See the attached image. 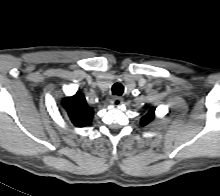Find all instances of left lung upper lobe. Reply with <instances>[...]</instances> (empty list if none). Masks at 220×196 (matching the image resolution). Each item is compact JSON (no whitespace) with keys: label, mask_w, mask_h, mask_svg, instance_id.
Listing matches in <instances>:
<instances>
[{"label":"left lung upper lobe","mask_w":220,"mask_h":196,"mask_svg":"<svg viewBox=\"0 0 220 196\" xmlns=\"http://www.w3.org/2000/svg\"><path fill=\"white\" fill-rule=\"evenodd\" d=\"M155 118V108H151L146 115L141 118V125L145 126L149 124Z\"/></svg>","instance_id":"5c2ea615"}]
</instances>
